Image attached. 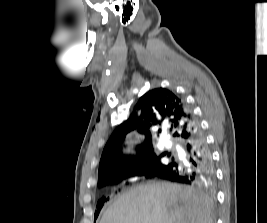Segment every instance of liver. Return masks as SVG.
<instances>
[{
	"instance_id": "6515ba94",
	"label": "liver",
	"mask_w": 267,
	"mask_h": 223,
	"mask_svg": "<svg viewBox=\"0 0 267 223\" xmlns=\"http://www.w3.org/2000/svg\"><path fill=\"white\" fill-rule=\"evenodd\" d=\"M100 223H213V200L189 186L142 185L120 196Z\"/></svg>"
}]
</instances>
